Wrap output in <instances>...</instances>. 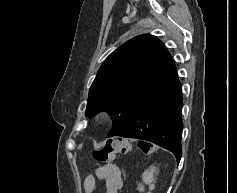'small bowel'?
I'll use <instances>...</instances> for the list:
<instances>
[{"instance_id":"c3829d8e","label":"small bowel","mask_w":237,"mask_h":193,"mask_svg":"<svg viewBox=\"0 0 237 193\" xmlns=\"http://www.w3.org/2000/svg\"><path fill=\"white\" fill-rule=\"evenodd\" d=\"M95 177L105 182V193H119L123 188V178L120 168L116 164L100 167ZM95 177L88 176L84 181V190L91 193L95 189Z\"/></svg>"}]
</instances>
